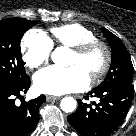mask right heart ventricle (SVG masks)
<instances>
[{"mask_svg": "<svg viewBox=\"0 0 136 136\" xmlns=\"http://www.w3.org/2000/svg\"><path fill=\"white\" fill-rule=\"evenodd\" d=\"M51 43L74 47L82 42L96 39L94 32L79 23H68L51 28Z\"/></svg>", "mask_w": 136, "mask_h": 136, "instance_id": "obj_1", "label": "right heart ventricle"}]
</instances>
